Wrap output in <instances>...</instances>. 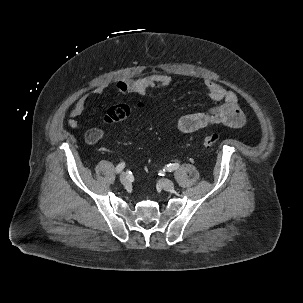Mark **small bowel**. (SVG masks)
<instances>
[{"label": "small bowel", "mask_w": 303, "mask_h": 303, "mask_svg": "<svg viewBox=\"0 0 303 303\" xmlns=\"http://www.w3.org/2000/svg\"><path fill=\"white\" fill-rule=\"evenodd\" d=\"M172 82L170 76L153 73L140 78H120L115 82V88L122 94L130 93L138 96L146 95L150 90L168 87ZM208 96L213 101V106L206 110L192 112L180 117L176 127L182 133H193L214 124H222L231 128H241L246 123L237 94L226 90L218 83L205 80ZM104 91L102 86L95 88L89 93L81 95L70 110L68 127L79 129L78 118L83 114L88 99L91 95H100ZM105 136V131L100 128H92L86 131L84 140L87 144H95ZM101 151H107L102 148Z\"/></svg>", "instance_id": "1"}]
</instances>
